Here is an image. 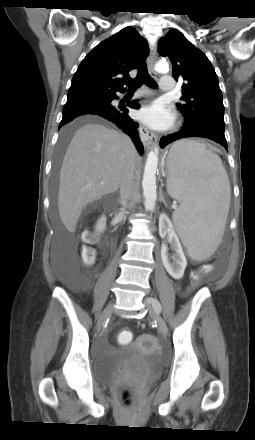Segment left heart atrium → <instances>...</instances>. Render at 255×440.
<instances>
[{
    "label": "left heart atrium",
    "mask_w": 255,
    "mask_h": 440,
    "mask_svg": "<svg viewBox=\"0 0 255 440\" xmlns=\"http://www.w3.org/2000/svg\"><path fill=\"white\" fill-rule=\"evenodd\" d=\"M138 117L146 125L155 129H165L173 121L170 109L161 102H153L142 108L138 113Z\"/></svg>",
    "instance_id": "obj_1"
}]
</instances>
